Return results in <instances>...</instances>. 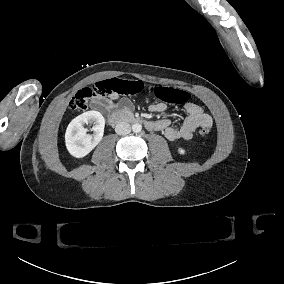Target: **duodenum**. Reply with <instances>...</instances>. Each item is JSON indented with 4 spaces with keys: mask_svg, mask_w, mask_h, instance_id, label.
Instances as JSON below:
<instances>
[{
    "mask_svg": "<svg viewBox=\"0 0 284 284\" xmlns=\"http://www.w3.org/2000/svg\"><path fill=\"white\" fill-rule=\"evenodd\" d=\"M108 119L111 125H118V124L125 123V122L135 123L139 121L138 118H136L134 115H132L129 112H125V113L112 112L109 114Z\"/></svg>",
    "mask_w": 284,
    "mask_h": 284,
    "instance_id": "obj_1",
    "label": "duodenum"
}]
</instances>
